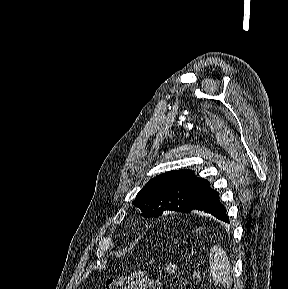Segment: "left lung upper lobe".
I'll use <instances>...</instances> for the list:
<instances>
[{
    "mask_svg": "<svg viewBox=\"0 0 288 289\" xmlns=\"http://www.w3.org/2000/svg\"><path fill=\"white\" fill-rule=\"evenodd\" d=\"M211 189L210 183L192 170H173L151 179L133 204L143 217H158L163 211L187 213Z\"/></svg>",
    "mask_w": 288,
    "mask_h": 289,
    "instance_id": "left-lung-upper-lobe-1",
    "label": "left lung upper lobe"
}]
</instances>
